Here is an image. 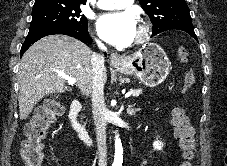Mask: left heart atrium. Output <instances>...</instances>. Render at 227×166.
Here are the masks:
<instances>
[{
	"label": "left heart atrium",
	"mask_w": 227,
	"mask_h": 166,
	"mask_svg": "<svg viewBox=\"0 0 227 166\" xmlns=\"http://www.w3.org/2000/svg\"><path fill=\"white\" fill-rule=\"evenodd\" d=\"M97 31L110 44L127 45L136 36V20L130 12L104 14L97 20Z\"/></svg>",
	"instance_id": "1"
}]
</instances>
